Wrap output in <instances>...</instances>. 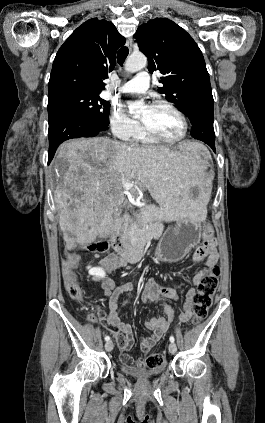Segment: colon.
I'll return each instance as SVG.
<instances>
[{
	"label": "colon",
	"instance_id": "5ec220e1",
	"mask_svg": "<svg viewBox=\"0 0 265 423\" xmlns=\"http://www.w3.org/2000/svg\"><path fill=\"white\" fill-rule=\"evenodd\" d=\"M212 236V230L207 227L204 231V245H206ZM90 252L94 253H105L110 249V243L107 240H99L91 243L88 247ZM220 276V268L217 263L212 265L207 275L202 279L198 291L194 297L193 316L191 323L198 325L208 315V311L212 305L213 296L216 293L218 287V280ZM64 283L65 288L74 299H83L85 297L84 287L78 276V266L75 261H69L64 271ZM86 304L88 307H92L91 301L87 300ZM98 316H102L99 312ZM90 319H94V315H89ZM165 360L164 352H156L150 354L143 366L146 368H158L161 367Z\"/></svg>",
	"mask_w": 265,
	"mask_h": 423
}]
</instances>
